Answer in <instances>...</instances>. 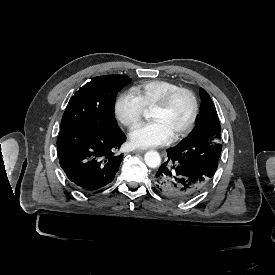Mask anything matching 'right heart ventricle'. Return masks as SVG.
<instances>
[{
    "label": "right heart ventricle",
    "instance_id": "obj_1",
    "mask_svg": "<svg viewBox=\"0 0 275 275\" xmlns=\"http://www.w3.org/2000/svg\"><path fill=\"white\" fill-rule=\"evenodd\" d=\"M177 85L163 79H152L141 82L133 88V92L145 106L151 108Z\"/></svg>",
    "mask_w": 275,
    "mask_h": 275
}]
</instances>
